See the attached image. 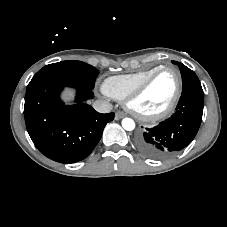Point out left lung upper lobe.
I'll return each instance as SVG.
<instances>
[{"label":"left lung upper lobe","instance_id":"1","mask_svg":"<svg viewBox=\"0 0 227 227\" xmlns=\"http://www.w3.org/2000/svg\"><path fill=\"white\" fill-rule=\"evenodd\" d=\"M172 62L174 64H177L178 67L180 68L181 75H182V82H183L182 92H186L188 90L203 92L200 81L192 70H190L182 63H179L177 61H172Z\"/></svg>","mask_w":227,"mask_h":227}]
</instances>
